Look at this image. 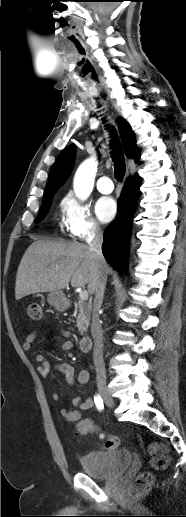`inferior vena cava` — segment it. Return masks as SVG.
Masks as SVG:
<instances>
[{
  "mask_svg": "<svg viewBox=\"0 0 186 517\" xmlns=\"http://www.w3.org/2000/svg\"><path fill=\"white\" fill-rule=\"evenodd\" d=\"M86 241L90 251L95 258L97 268L96 279L94 283L95 298L93 302L91 324V335L94 341L93 361L97 379L105 380L106 372L103 360V331L99 320V310L103 302L107 274L104 270V265L106 262L102 254V231L98 225L93 226Z\"/></svg>",
  "mask_w": 186,
  "mask_h": 517,
  "instance_id": "602c4592",
  "label": "inferior vena cava"
}]
</instances>
